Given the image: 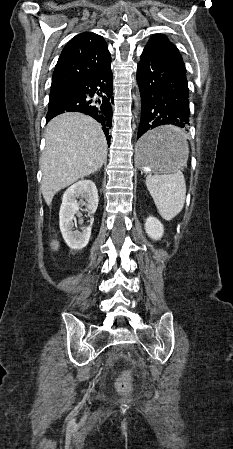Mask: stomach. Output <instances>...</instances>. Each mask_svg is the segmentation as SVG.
<instances>
[{"label": "stomach", "instance_id": "0dacf381", "mask_svg": "<svg viewBox=\"0 0 233 449\" xmlns=\"http://www.w3.org/2000/svg\"><path fill=\"white\" fill-rule=\"evenodd\" d=\"M172 127L150 128L136 146L135 160L139 168L158 172H171L186 161L188 152L185 139Z\"/></svg>", "mask_w": 233, "mask_h": 449}]
</instances>
